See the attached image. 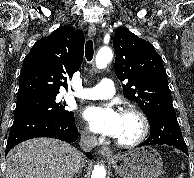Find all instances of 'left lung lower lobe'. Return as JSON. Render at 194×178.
Segmentation results:
<instances>
[{
	"mask_svg": "<svg viewBox=\"0 0 194 178\" xmlns=\"http://www.w3.org/2000/svg\"><path fill=\"white\" fill-rule=\"evenodd\" d=\"M151 131L149 138L140 146L167 144L188 155V149L176 118L174 109L156 110L148 115Z\"/></svg>",
	"mask_w": 194,
	"mask_h": 178,
	"instance_id": "1",
	"label": "left lung lower lobe"
}]
</instances>
